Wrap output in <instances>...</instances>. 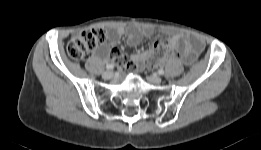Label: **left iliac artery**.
Segmentation results:
<instances>
[{"label":"left iliac artery","mask_w":261,"mask_h":150,"mask_svg":"<svg viewBox=\"0 0 261 150\" xmlns=\"http://www.w3.org/2000/svg\"><path fill=\"white\" fill-rule=\"evenodd\" d=\"M158 74H159V75H163V74H164V70H163V69H159V70H158Z\"/></svg>","instance_id":"1"}]
</instances>
